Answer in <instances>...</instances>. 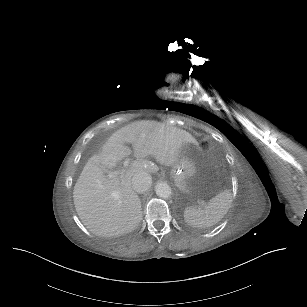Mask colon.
I'll use <instances>...</instances> for the list:
<instances>
[{
    "instance_id": "obj_1",
    "label": "colon",
    "mask_w": 307,
    "mask_h": 307,
    "mask_svg": "<svg viewBox=\"0 0 307 307\" xmlns=\"http://www.w3.org/2000/svg\"><path fill=\"white\" fill-rule=\"evenodd\" d=\"M198 146L201 150L206 151L210 148L211 143L208 139L203 138L199 141Z\"/></svg>"
}]
</instances>
